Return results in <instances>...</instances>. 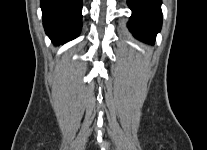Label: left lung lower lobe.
I'll use <instances>...</instances> for the list:
<instances>
[{"instance_id":"obj_1","label":"left lung lower lobe","mask_w":207,"mask_h":150,"mask_svg":"<svg viewBox=\"0 0 207 150\" xmlns=\"http://www.w3.org/2000/svg\"><path fill=\"white\" fill-rule=\"evenodd\" d=\"M132 16L128 27L133 35L153 44L162 25L161 0H128Z\"/></svg>"}]
</instances>
